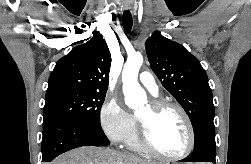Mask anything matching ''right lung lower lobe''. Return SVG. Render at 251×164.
I'll return each mask as SVG.
<instances>
[{
	"label": "right lung lower lobe",
	"mask_w": 251,
	"mask_h": 164,
	"mask_svg": "<svg viewBox=\"0 0 251 164\" xmlns=\"http://www.w3.org/2000/svg\"><path fill=\"white\" fill-rule=\"evenodd\" d=\"M109 145L101 126L66 119L43 122L42 162L81 146Z\"/></svg>",
	"instance_id": "98d812e1"
}]
</instances>
